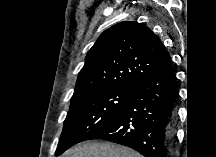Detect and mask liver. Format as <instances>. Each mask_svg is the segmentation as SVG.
Returning a JSON list of instances; mask_svg holds the SVG:
<instances>
[{
  "label": "liver",
  "mask_w": 216,
  "mask_h": 157,
  "mask_svg": "<svg viewBox=\"0 0 216 157\" xmlns=\"http://www.w3.org/2000/svg\"><path fill=\"white\" fill-rule=\"evenodd\" d=\"M63 157H141L134 150L108 142H90L63 154Z\"/></svg>",
  "instance_id": "liver-1"
}]
</instances>
